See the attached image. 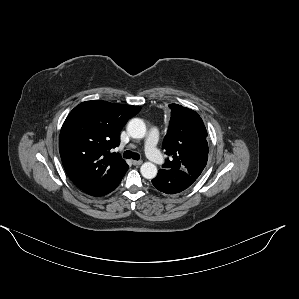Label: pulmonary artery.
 <instances>
[{
  "label": "pulmonary artery",
  "mask_w": 299,
  "mask_h": 299,
  "mask_svg": "<svg viewBox=\"0 0 299 299\" xmlns=\"http://www.w3.org/2000/svg\"><path fill=\"white\" fill-rule=\"evenodd\" d=\"M159 132L157 128H151L145 139L144 147L147 157L155 164L164 162V158L157 149Z\"/></svg>",
  "instance_id": "obj_1"
}]
</instances>
